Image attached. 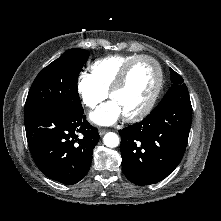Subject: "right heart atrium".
<instances>
[{
	"label": "right heart atrium",
	"mask_w": 221,
	"mask_h": 221,
	"mask_svg": "<svg viewBox=\"0 0 221 221\" xmlns=\"http://www.w3.org/2000/svg\"><path fill=\"white\" fill-rule=\"evenodd\" d=\"M77 91L85 106L96 108L107 97V92L102 90L91 74L81 73L77 81Z\"/></svg>",
	"instance_id": "right-heart-atrium-1"
}]
</instances>
